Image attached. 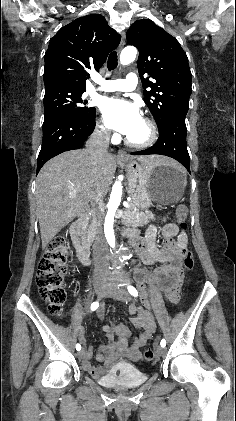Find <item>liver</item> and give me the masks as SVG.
I'll return each instance as SVG.
<instances>
[{
    "mask_svg": "<svg viewBox=\"0 0 236 421\" xmlns=\"http://www.w3.org/2000/svg\"><path fill=\"white\" fill-rule=\"evenodd\" d=\"M143 166L170 164L183 166L167 156H135ZM117 168L113 154H103L101 162L92 164L86 150H67L50 158L36 176L37 217L40 223L42 249L53 237L78 217L95 192L107 194Z\"/></svg>",
    "mask_w": 236,
    "mask_h": 421,
    "instance_id": "1",
    "label": "liver"
}]
</instances>
